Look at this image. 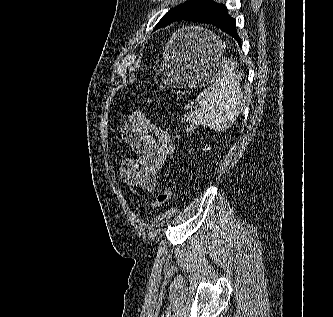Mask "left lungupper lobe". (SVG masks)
Instances as JSON below:
<instances>
[{
	"instance_id": "obj_1",
	"label": "left lung upper lobe",
	"mask_w": 333,
	"mask_h": 317,
	"mask_svg": "<svg viewBox=\"0 0 333 317\" xmlns=\"http://www.w3.org/2000/svg\"><path fill=\"white\" fill-rule=\"evenodd\" d=\"M212 0H188L183 4H180L173 9H170L157 23L154 30L164 27L172 22L181 20L186 14L190 11L195 10L196 8L202 7Z\"/></svg>"
}]
</instances>
